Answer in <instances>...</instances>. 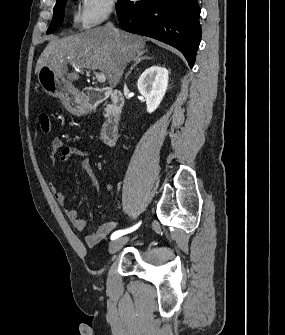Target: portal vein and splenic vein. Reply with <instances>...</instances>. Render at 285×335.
Returning a JSON list of instances; mask_svg holds the SVG:
<instances>
[{"mask_svg":"<svg viewBox=\"0 0 285 335\" xmlns=\"http://www.w3.org/2000/svg\"><path fill=\"white\" fill-rule=\"evenodd\" d=\"M97 82H106L105 74H95Z\"/></svg>","mask_w":285,"mask_h":335,"instance_id":"1","label":"portal vein and splenic vein"}]
</instances>
